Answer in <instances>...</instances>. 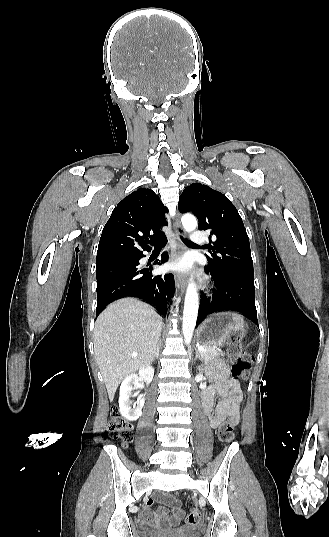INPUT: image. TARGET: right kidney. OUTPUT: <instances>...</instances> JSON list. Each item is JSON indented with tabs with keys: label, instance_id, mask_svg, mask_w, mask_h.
<instances>
[{
	"label": "right kidney",
	"instance_id": "obj_1",
	"mask_svg": "<svg viewBox=\"0 0 329 537\" xmlns=\"http://www.w3.org/2000/svg\"><path fill=\"white\" fill-rule=\"evenodd\" d=\"M153 376L154 368L152 366H147L141 369L138 372V375L132 373L122 381L119 396V412L127 420H137L142 415V408L145 402L144 397L142 395H138L139 392H136L135 396H137V401L133 403L130 400L132 390L139 386V382L141 380H144L147 384H149L152 381ZM132 403L133 407H131Z\"/></svg>",
	"mask_w": 329,
	"mask_h": 537
}]
</instances>
